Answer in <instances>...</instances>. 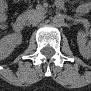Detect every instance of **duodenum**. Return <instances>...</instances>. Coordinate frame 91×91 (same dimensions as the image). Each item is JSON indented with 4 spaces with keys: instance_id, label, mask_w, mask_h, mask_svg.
Instances as JSON below:
<instances>
[{
    "instance_id": "1",
    "label": "duodenum",
    "mask_w": 91,
    "mask_h": 91,
    "mask_svg": "<svg viewBox=\"0 0 91 91\" xmlns=\"http://www.w3.org/2000/svg\"><path fill=\"white\" fill-rule=\"evenodd\" d=\"M61 6H62V5L59 3V4H58V8H61ZM24 27H25V22H24L23 19H17V20H15V21L13 22V24H12V29H13L15 32H21V31H23Z\"/></svg>"
}]
</instances>
